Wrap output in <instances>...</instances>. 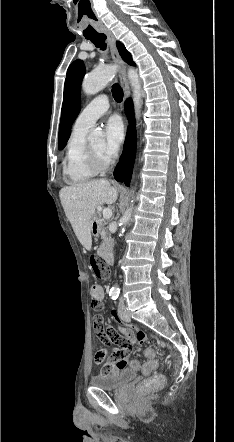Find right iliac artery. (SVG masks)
I'll return each instance as SVG.
<instances>
[{"instance_id": "1", "label": "right iliac artery", "mask_w": 234, "mask_h": 442, "mask_svg": "<svg viewBox=\"0 0 234 442\" xmlns=\"http://www.w3.org/2000/svg\"><path fill=\"white\" fill-rule=\"evenodd\" d=\"M109 295L113 300H116L119 296L118 292H110Z\"/></svg>"}]
</instances>
